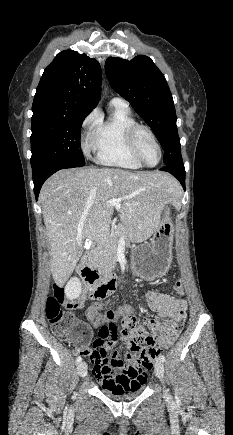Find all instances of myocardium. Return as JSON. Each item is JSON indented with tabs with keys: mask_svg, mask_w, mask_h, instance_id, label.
Masks as SVG:
<instances>
[{
	"mask_svg": "<svg viewBox=\"0 0 233 435\" xmlns=\"http://www.w3.org/2000/svg\"><path fill=\"white\" fill-rule=\"evenodd\" d=\"M141 132H145L151 138V140L154 142V144L158 150L159 160L154 165L147 164L141 155L139 145H138V136ZM127 141H128V145H129V148L131 150V153L133 154L134 158L142 166L148 167V168H153V167H156L160 163V161L162 160L163 153H162L161 145H160L155 133L153 132V130L151 128H149L148 126H146L144 124H140V123H136L133 126H131L127 132Z\"/></svg>",
	"mask_w": 233,
	"mask_h": 435,
	"instance_id": "f54148a6",
	"label": "myocardium"
}]
</instances>
